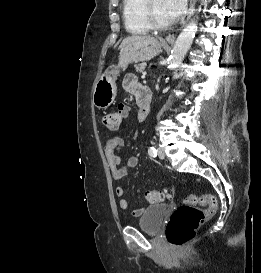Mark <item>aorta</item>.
Returning <instances> with one entry per match:
<instances>
[{"mask_svg":"<svg viewBox=\"0 0 261 273\" xmlns=\"http://www.w3.org/2000/svg\"><path fill=\"white\" fill-rule=\"evenodd\" d=\"M196 30L197 22L195 19H192L179 34L169 58L171 68L182 63L187 51L192 45Z\"/></svg>","mask_w":261,"mask_h":273,"instance_id":"aorta-1","label":"aorta"}]
</instances>
